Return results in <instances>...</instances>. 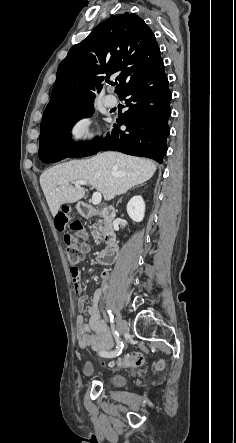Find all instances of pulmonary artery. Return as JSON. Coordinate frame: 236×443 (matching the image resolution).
I'll use <instances>...</instances> for the list:
<instances>
[{
  "label": "pulmonary artery",
  "mask_w": 236,
  "mask_h": 443,
  "mask_svg": "<svg viewBox=\"0 0 236 443\" xmlns=\"http://www.w3.org/2000/svg\"><path fill=\"white\" fill-rule=\"evenodd\" d=\"M103 103L107 108H114L117 105V99L114 95H106L103 99Z\"/></svg>",
  "instance_id": "1"
}]
</instances>
